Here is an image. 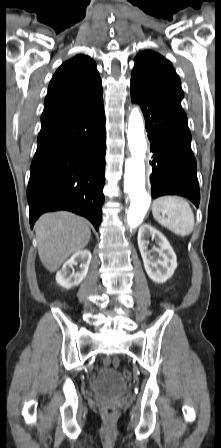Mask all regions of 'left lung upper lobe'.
<instances>
[{
  "mask_svg": "<svg viewBox=\"0 0 221 448\" xmlns=\"http://www.w3.org/2000/svg\"><path fill=\"white\" fill-rule=\"evenodd\" d=\"M131 74V91L167 109L187 122L181 107L184 93L181 81L171 63L151 50L140 52L134 60Z\"/></svg>",
  "mask_w": 221,
  "mask_h": 448,
  "instance_id": "1",
  "label": "left lung upper lobe"
}]
</instances>
